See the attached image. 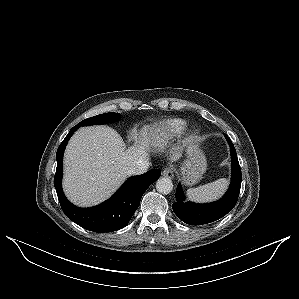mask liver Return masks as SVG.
I'll return each mask as SVG.
<instances>
[{
	"label": "liver",
	"instance_id": "obj_1",
	"mask_svg": "<svg viewBox=\"0 0 299 299\" xmlns=\"http://www.w3.org/2000/svg\"><path fill=\"white\" fill-rule=\"evenodd\" d=\"M129 148L105 125L82 127L70 139L64 154L63 188L81 207L108 199L129 176V169L149 158L150 134L145 128ZM137 140V137H136ZM178 154L172 157L176 160Z\"/></svg>",
	"mask_w": 299,
	"mask_h": 299
}]
</instances>
